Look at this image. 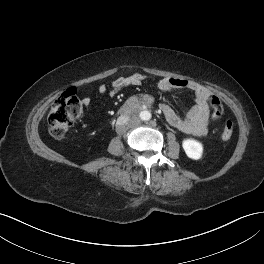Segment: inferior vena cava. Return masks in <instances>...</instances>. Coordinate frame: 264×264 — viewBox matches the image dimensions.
<instances>
[{
    "mask_svg": "<svg viewBox=\"0 0 264 264\" xmlns=\"http://www.w3.org/2000/svg\"><path fill=\"white\" fill-rule=\"evenodd\" d=\"M128 117H125V116H120L119 117V121H118V124H124L128 121Z\"/></svg>",
    "mask_w": 264,
    "mask_h": 264,
    "instance_id": "602c4592",
    "label": "inferior vena cava"
}]
</instances>
